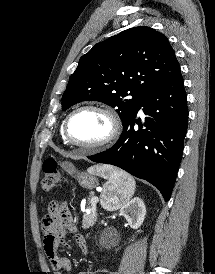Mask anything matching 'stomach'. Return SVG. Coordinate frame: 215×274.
<instances>
[{"mask_svg": "<svg viewBox=\"0 0 215 274\" xmlns=\"http://www.w3.org/2000/svg\"><path fill=\"white\" fill-rule=\"evenodd\" d=\"M62 167L70 175H74L81 187L86 189H93L98 185V179L95 174H88L86 172H79L76 170L75 166L69 162H63Z\"/></svg>", "mask_w": 215, "mask_h": 274, "instance_id": "obj_1", "label": "stomach"}]
</instances>
